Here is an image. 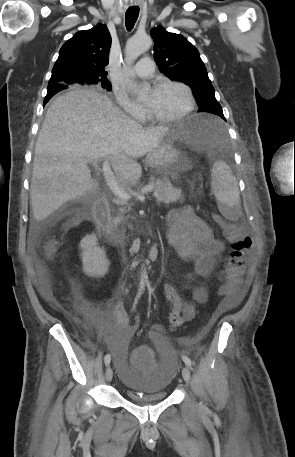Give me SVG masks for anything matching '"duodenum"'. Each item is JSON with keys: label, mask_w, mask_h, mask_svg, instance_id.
<instances>
[{"label": "duodenum", "mask_w": 295, "mask_h": 457, "mask_svg": "<svg viewBox=\"0 0 295 457\" xmlns=\"http://www.w3.org/2000/svg\"><path fill=\"white\" fill-rule=\"evenodd\" d=\"M84 215L93 221L107 244L115 245L124 243V239L117 236L112 230L109 220L108 200L105 196H99L90 208L85 207Z\"/></svg>", "instance_id": "duodenum-1"}]
</instances>
